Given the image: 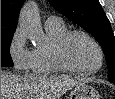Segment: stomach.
<instances>
[{
    "mask_svg": "<svg viewBox=\"0 0 115 99\" xmlns=\"http://www.w3.org/2000/svg\"><path fill=\"white\" fill-rule=\"evenodd\" d=\"M70 99H100V96L91 85L81 83L70 92Z\"/></svg>",
    "mask_w": 115,
    "mask_h": 99,
    "instance_id": "obj_1",
    "label": "stomach"
}]
</instances>
